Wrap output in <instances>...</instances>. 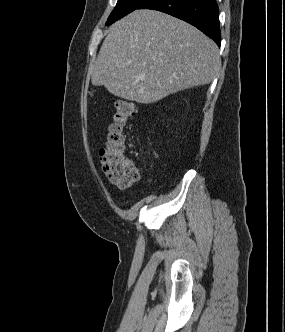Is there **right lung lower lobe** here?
<instances>
[{
  "label": "right lung lower lobe",
  "instance_id": "1",
  "mask_svg": "<svg viewBox=\"0 0 285 332\" xmlns=\"http://www.w3.org/2000/svg\"><path fill=\"white\" fill-rule=\"evenodd\" d=\"M137 9L158 10L182 19L220 46L219 9L215 0H147Z\"/></svg>",
  "mask_w": 285,
  "mask_h": 332
}]
</instances>
